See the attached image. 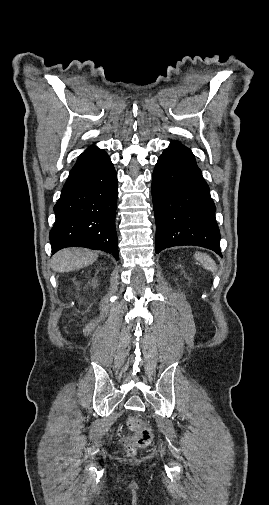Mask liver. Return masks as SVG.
<instances>
[{"mask_svg":"<svg viewBox=\"0 0 269 505\" xmlns=\"http://www.w3.org/2000/svg\"><path fill=\"white\" fill-rule=\"evenodd\" d=\"M98 255L83 248H66L52 258V269L57 272H70L91 265Z\"/></svg>","mask_w":269,"mask_h":505,"instance_id":"liver-1","label":"liver"}]
</instances>
